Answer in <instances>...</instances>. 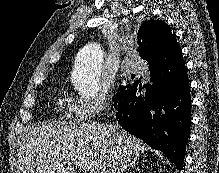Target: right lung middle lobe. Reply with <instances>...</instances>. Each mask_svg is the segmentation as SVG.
Returning <instances> with one entry per match:
<instances>
[{
  "label": "right lung middle lobe",
  "mask_w": 219,
  "mask_h": 173,
  "mask_svg": "<svg viewBox=\"0 0 219 173\" xmlns=\"http://www.w3.org/2000/svg\"><path fill=\"white\" fill-rule=\"evenodd\" d=\"M126 88V86H120L117 93H116V97L118 96V94L123 91Z\"/></svg>",
  "instance_id": "right-lung-middle-lobe-1"
}]
</instances>
